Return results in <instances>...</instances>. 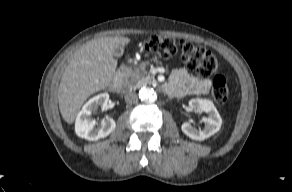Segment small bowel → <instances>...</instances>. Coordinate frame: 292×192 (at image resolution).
Wrapping results in <instances>:
<instances>
[{
  "label": "small bowel",
  "mask_w": 292,
  "mask_h": 192,
  "mask_svg": "<svg viewBox=\"0 0 292 192\" xmlns=\"http://www.w3.org/2000/svg\"><path fill=\"white\" fill-rule=\"evenodd\" d=\"M211 87V80L198 78L188 73L185 68L175 70L170 81L165 86V91L173 97H185L194 94H206Z\"/></svg>",
  "instance_id": "c3829d8e"
}]
</instances>
